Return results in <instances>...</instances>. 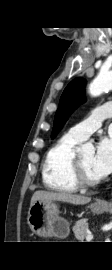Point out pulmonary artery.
I'll return each mask as SVG.
<instances>
[{
    "instance_id": "pulmonary-artery-1",
    "label": "pulmonary artery",
    "mask_w": 112,
    "mask_h": 270,
    "mask_svg": "<svg viewBox=\"0 0 112 270\" xmlns=\"http://www.w3.org/2000/svg\"><path fill=\"white\" fill-rule=\"evenodd\" d=\"M111 117L112 103L102 105L96 108L87 119L70 128L68 134L79 141H83L101 127L104 119Z\"/></svg>"
}]
</instances>
